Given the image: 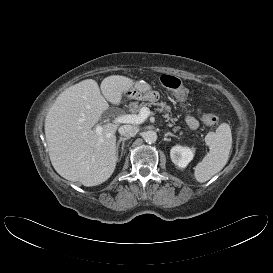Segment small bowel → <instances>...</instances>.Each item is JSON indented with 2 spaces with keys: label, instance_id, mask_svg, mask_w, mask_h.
I'll return each mask as SVG.
<instances>
[{
  "label": "small bowel",
  "instance_id": "1",
  "mask_svg": "<svg viewBox=\"0 0 273 273\" xmlns=\"http://www.w3.org/2000/svg\"><path fill=\"white\" fill-rule=\"evenodd\" d=\"M185 120H186L187 125L191 129H196L199 125L198 120L195 117H193L192 115H187Z\"/></svg>",
  "mask_w": 273,
  "mask_h": 273
}]
</instances>
